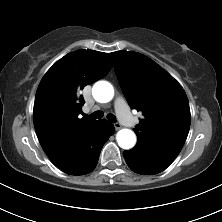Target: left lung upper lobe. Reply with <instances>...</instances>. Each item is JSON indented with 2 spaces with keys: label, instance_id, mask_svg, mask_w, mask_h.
I'll use <instances>...</instances> for the list:
<instances>
[{
  "label": "left lung upper lobe",
  "instance_id": "5c2ea615",
  "mask_svg": "<svg viewBox=\"0 0 222 222\" xmlns=\"http://www.w3.org/2000/svg\"><path fill=\"white\" fill-rule=\"evenodd\" d=\"M123 93L143 119L134 132L135 147L172 163L181 151L190 128L188 98L181 85L163 68L137 52L111 53Z\"/></svg>",
  "mask_w": 222,
  "mask_h": 222
}]
</instances>
